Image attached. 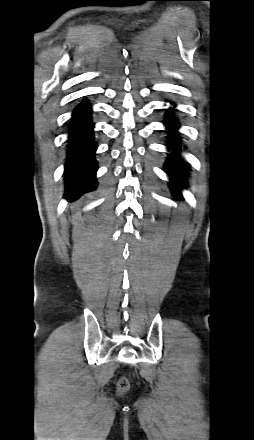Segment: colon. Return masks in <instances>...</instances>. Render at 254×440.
Returning <instances> with one entry per match:
<instances>
[{"label": "colon", "instance_id": "colon-1", "mask_svg": "<svg viewBox=\"0 0 254 440\" xmlns=\"http://www.w3.org/2000/svg\"><path fill=\"white\" fill-rule=\"evenodd\" d=\"M129 387H130V383H129V381H128L127 379H125V378L121 379V380L118 382V384H117V390H118L120 393H123V392L127 391V390L129 389Z\"/></svg>", "mask_w": 254, "mask_h": 440}]
</instances>
